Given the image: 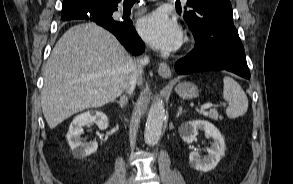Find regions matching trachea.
<instances>
[{"instance_id":"trachea-1","label":"trachea","mask_w":293,"mask_h":184,"mask_svg":"<svg viewBox=\"0 0 293 184\" xmlns=\"http://www.w3.org/2000/svg\"><path fill=\"white\" fill-rule=\"evenodd\" d=\"M137 0H124V4L135 3Z\"/></svg>"}]
</instances>
